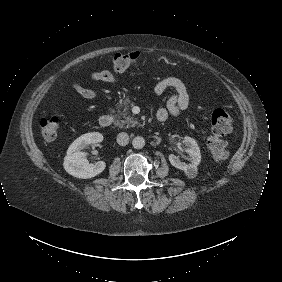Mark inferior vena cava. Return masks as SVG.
Wrapping results in <instances>:
<instances>
[{"label": "inferior vena cava", "mask_w": 282, "mask_h": 282, "mask_svg": "<svg viewBox=\"0 0 282 282\" xmlns=\"http://www.w3.org/2000/svg\"><path fill=\"white\" fill-rule=\"evenodd\" d=\"M129 142V135L126 132H121L117 135V143L120 146H125Z\"/></svg>", "instance_id": "602c4592"}]
</instances>
